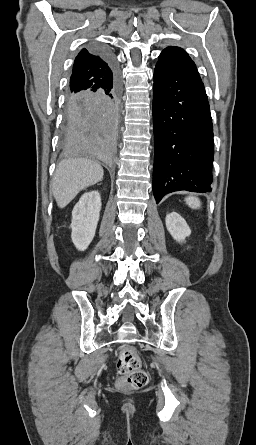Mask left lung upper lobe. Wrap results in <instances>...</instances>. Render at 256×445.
I'll return each instance as SVG.
<instances>
[{"label":"left lung upper lobe","mask_w":256,"mask_h":445,"mask_svg":"<svg viewBox=\"0 0 256 445\" xmlns=\"http://www.w3.org/2000/svg\"><path fill=\"white\" fill-rule=\"evenodd\" d=\"M158 63L165 64L187 76L200 79L195 63L181 48L167 47L161 52Z\"/></svg>","instance_id":"left-lung-upper-lobe-1"}]
</instances>
